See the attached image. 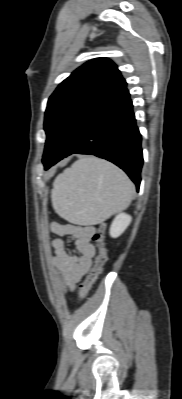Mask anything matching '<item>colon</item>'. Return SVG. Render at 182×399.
<instances>
[{"instance_id": "obj_1", "label": "colon", "mask_w": 182, "mask_h": 399, "mask_svg": "<svg viewBox=\"0 0 182 399\" xmlns=\"http://www.w3.org/2000/svg\"><path fill=\"white\" fill-rule=\"evenodd\" d=\"M105 237V227L104 225H100L93 234V241L95 242L98 248V254L95 259L94 266L86 277V279L82 282L80 286V297H85L89 291L91 290L93 284L97 280L98 276L101 274L103 267L107 261V251L104 244Z\"/></svg>"}]
</instances>
